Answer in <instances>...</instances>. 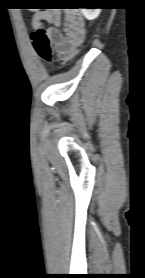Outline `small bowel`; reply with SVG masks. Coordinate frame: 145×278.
<instances>
[{
	"mask_svg": "<svg viewBox=\"0 0 145 278\" xmlns=\"http://www.w3.org/2000/svg\"><path fill=\"white\" fill-rule=\"evenodd\" d=\"M62 13L60 10H54L50 13H38L34 16L31 29H40V19L46 18L51 24L45 29L50 44L59 60L71 58L78 46H80L86 35L82 18L74 11L64 13L65 23L63 30L59 29Z\"/></svg>",
	"mask_w": 145,
	"mask_h": 278,
	"instance_id": "obj_1",
	"label": "small bowel"
}]
</instances>
